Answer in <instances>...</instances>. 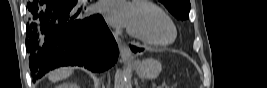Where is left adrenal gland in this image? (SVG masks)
Returning <instances> with one entry per match:
<instances>
[{"mask_svg":"<svg viewBox=\"0 0 267 88\" xmlns=\"http://www.w3.org/2000/svg\"><path fill=\"white\" fill-rule=\"evenodd\" d=\"M136 86H137V88H138V83H136Z\"/></svg>","mask_w":267,"mask_h":88,"instance_id":"obj_1","label":"left adrenal gland"}]
</instances>
